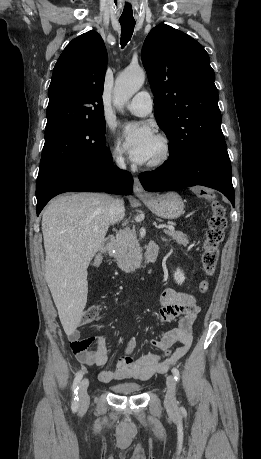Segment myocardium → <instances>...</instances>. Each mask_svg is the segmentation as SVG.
I'll return each mask as SVG.
<instances>
[{
	"label": "myocardium",
	"mask_w": 261,
	"mask_h": 459,
	"mask_svg": "<svg viewBox=\"0 0 261 459\" xmlns=\"http://www.w3.org/2000/svg\"><path fill=\"white\" fill-rule=\"evenodd\" d=\"M156 139L161 146V152L155 159L149 161L146 164V167L150 169H155L163 166L168 162L171 156V144L169 139L162 134L157 135Z\"/></svg>",
	"instance_id": "1"
}]
</instances>
